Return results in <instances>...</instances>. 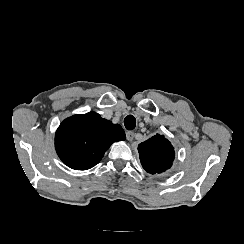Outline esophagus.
Masks as SVG:
<instances>
[{
    "mask_svg": "<svg viewBox=\"0 0 244 244\" xmlns=\"http://www.w3.org/2000/svg\"><path fill=\"white\" fill-rule=\"evenodd\" d=\"M126 138L128 141H132L134 139V133L132 131H127Z\"/></svg>",
    "mask_w": 244,
    "mask_h": 244,
    "instance_id": "34e87169",
    "label": "esophagus"
}]
</instances>
